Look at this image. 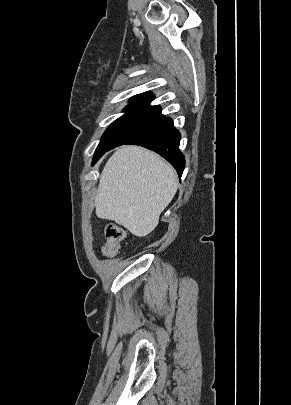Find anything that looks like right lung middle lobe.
<instances>
[{
  "label": "right lung middle lobe",
  "mask_w": 291,
  "mask_h": 405,
  "mask_svg": "<svg viewBox=\"0 0 291 405\" xmlns=\"http://www.w3.org/2000/svg\"><path fill=\"white\" fill-rule=\"evenodd\" d=\"M126 113L115 120L103 134L95 151V163L107 151L123 145L125 142L155 125L165 116L158 106H150L149 102L132 101L125 110Z\"/></svg>",
  "instance_id": "obj_1"
}]
</instances>
